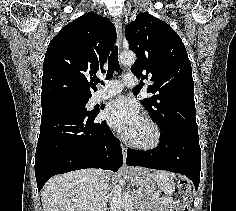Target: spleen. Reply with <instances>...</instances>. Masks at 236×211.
Segmentation results:
<instances>
[{"label": "spleen", "mask_w": 236, "mask_h": 211, "mask_svg": "<svg viewBox=\"0 0 236 211\" xmlns=\"http://www.w3.org/2000/svg\"><path fill=\"white\" fill-rule=\"evenodd\" d=\"M151 178L156 181L165 194L172 195L175 191L174 174L166 171H156L151 174Z\"/></svg>", "instance_id": "spleen-1"}]
</instances>
